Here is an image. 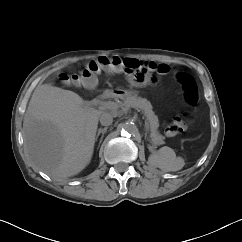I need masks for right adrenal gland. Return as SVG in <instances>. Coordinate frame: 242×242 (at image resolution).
Here are the masks:
<instances>
[{"label":"right adrenal gland","instance_id":"2a0ac1e0","mask_svg":"<svg viewBox=\"0 0 242 242\" xmlns=\"http://www.w3.org/2000/svg\"><path fill=\"white\" fill-rule=\"evenodd\" d=\"M107 129H108L107 127L98 129L97 135L95 137V141H97V139L100 136V134H102V138H103V136H104L105 132L107 131ZM102 138L100 140V143L102 142Z\"/></svg>","mask_w":242,"mask_h":242}]
</instances>
